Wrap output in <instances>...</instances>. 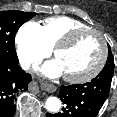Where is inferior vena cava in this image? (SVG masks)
<instances>
[{"mask_svg":"<svg viewBox=\"0 0 117 117\" xmlns=\"http://www.w3.org/2000/svg\"><path fill=\"white\" fill-rule=\"evenodd\" d=\"M29 65H30V62H24L21 64L23 69H28Z\"/></svg>","mask_w":117,"mask_h":117,"instance_id":"1","label":"inferior vena cava"}]
</instances>
